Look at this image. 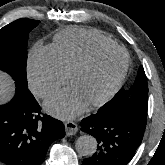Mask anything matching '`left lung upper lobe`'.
<instances>
[{
    "label": "left lung upper lobe",
    "instance_id": "left-lung-upper-lobe-1",
    "mask_svg": "<svg viewBox=\"0 0 165 165\" xmlns=\"http://www.w3.org/2000/svg\"><path fill=\"white\" fill-rule=\"evenodd\" d=\"M148 85L142 66L128 90H120L97 114L139 115L147 117Z\"/></svg>",
    "mask_w": 165,
    "mask_h": 165
}]
</instances>
